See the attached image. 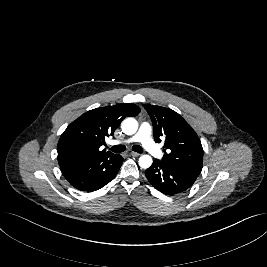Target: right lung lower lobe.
I'll list each match as a JSON object with an SVG mask.
<instances>
[{"instance_id": "98d812e1", "label": "right lung lower lobe", "mask_w": 267, "mask_h": 267, "mask_svg": "<svg viewBox=\"0 0 267 267\" xmlns=\"http://www.w3.org/2000/svg\"><path fill=\"white\" fill-rule=\"evenodd\" d=\"M123 162L119 154L93 157L60 165L67 181L83 191H96L108 184L118 173Z\"/></svg>"}]
</instances>
